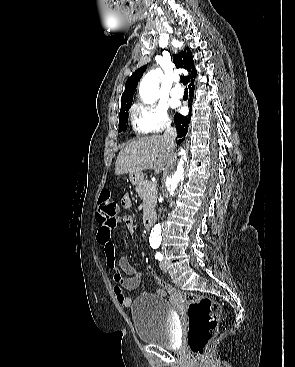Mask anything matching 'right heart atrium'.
Wrapping results in <instances>:
<instances>
[{
  "mask_svg": "<svg viewBox=\"0 0 295 367\" xmlns=\"http://www.w3.org/2000/svg\"><path fill=\"white\" fill-rule=\"evenodd\" d=\"M166 107L154 103H139L132 110V124L139 134H158L170 127Z\"/></svg>",
  "mask_w": 295,
  "mask_h": 367,
  "instance_id": "right-heart-atrium-1",
  "label": "right heart atrium"
}]
</instances>
